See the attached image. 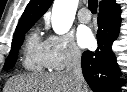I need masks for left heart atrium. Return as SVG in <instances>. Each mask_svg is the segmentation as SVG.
Masks as SVG:
<instances>
[{"instance_id": "obj_1", "label": "left heart atrium", "mask_w": 127, "mask_h": 92, "mask_svg": "<svg viewBox=\"0 0 127 92\" xmlns=\"http://www.w3.org/2000/svg\"><path fill=\"white\" fill-rule=\"evenodd\" d=\"M77 40L81 47L89 48L94 44V36L91 30L87 27L79 28L77 32Z\"/></svg>"}]
</instances>
